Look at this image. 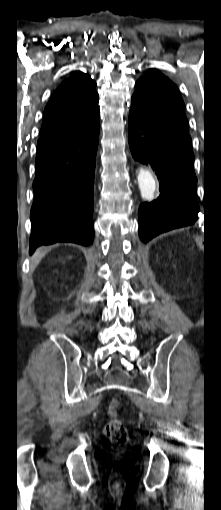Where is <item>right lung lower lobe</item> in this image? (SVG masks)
Masks as SVG:
<instances>
[{"instance_id":"98d812e1","label":"right lung lower lobe","mask_w":221,"mask_h":510,"mask_svg":"<svg viewBox=\"0 0 221 510\" xmlns=\"http://www.w3.org/2000/svg\"><path fill=\"white\" fill-rule=\"evenodd\" d=\"M98 138L99 118L81 132L37 145L30 254L56 242L92 243Z\"/></svg>"}]
</instances>
